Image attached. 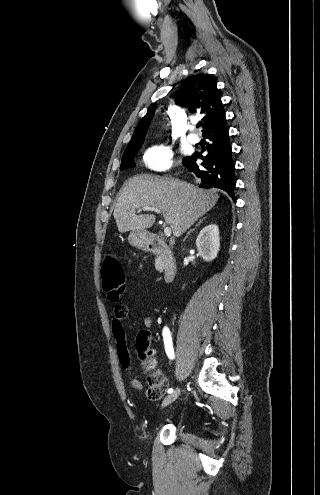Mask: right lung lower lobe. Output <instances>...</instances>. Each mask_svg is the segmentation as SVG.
<instances>
[{
  "mask_svg": "<svg viewBox=\"0 0 320 495\" xmlns=\"http://www.w3.org/2000/svg\"><path fill=\"white\" fill-rule=\"evenodd\" d=\"M203 137L209 140L207 147L203 150L208 151L207 156L203 157L201 153H194L192 156L185 157L182 163L188 171L201 178V187L222 189L235 201V164L232 159L226 119L204 131ZM197 158L203 160L201 166L196 164Z\"/></svg>",
  "mask_w": 320,
  "mask_h": 495,
  "instance_id": "98d812e1",
  "label": "right lung lower lobe"
}]
</instances>
